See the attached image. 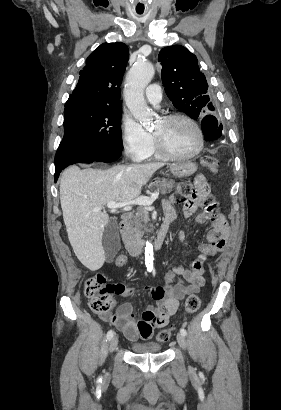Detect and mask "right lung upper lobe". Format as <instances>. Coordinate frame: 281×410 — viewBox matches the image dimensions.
Instances as JSON below:
<instances>
[{
	"label": "right lung upper lobe",
	"mask_w": 281,
	"mask_h": 410,
	"mask_svg": "<svg viewBox=\"0 0 281 410\" xmlns=\"http://www.w3.org/2000/svg\"><path fill=\"white\" fill-rule=\"evenodd\" d=\"M129 56L124 43H103L86 60L77 87L65 106L121 108L120 85Z\"/></svg>",
	"instance_id": "right-lung-upper-lobe-1"
}]
</instances>
